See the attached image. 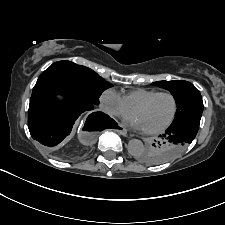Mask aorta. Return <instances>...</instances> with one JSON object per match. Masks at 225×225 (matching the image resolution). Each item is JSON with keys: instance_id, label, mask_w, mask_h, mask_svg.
<instances>
[{"instance_id": "1", "label": "aorta", "mask_w": 225, "mask_h": 225, "mask_svg": "<svg viewBox=\"0 0 225 225\" xmlns=\"http://www.w3.org/2000/svg\"><path fill=\"white\" fill-rule=\"evenodd\" d=\"M127 149L129 154L132 156H137L144 150V145L141 140L132 139L128 142Z\"/></svg>"}]
</instances>
